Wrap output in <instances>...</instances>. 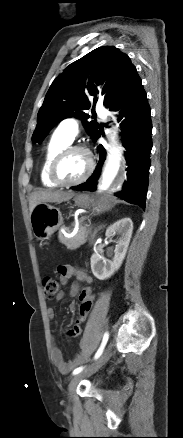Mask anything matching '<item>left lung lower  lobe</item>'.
<instances>
[{
	"instance_id": "left-lung-lower-lobe-1",
	"label": "left lung lower lobe",
	"mask_w": 183,
	"mask_h": 438,
	"mask_svg": "<svg viewBox=\"0 0 183 438\" xmlns=\"http://www.w3.org/2000/svg\"><path fill=\"white\" fill-rule=\"evenodd\" d=\"M114 106L120 110L118 121H121L122 142L125 152L127 181L123 190L116 194L119 198L145 208L152 149V123L150 107L140 77H136ZM101 135L98 132L94 140ZM105 149L99 147V162L94 174L83 184L72 187L73 190L95 191L97 179L105 160Z\"/></svg>"
}]
</instances>
